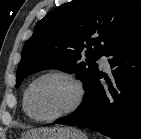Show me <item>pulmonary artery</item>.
Segmentation results:
<instances>
[{"mask_svg":"<svg viewBox=\"0 0 141 139\" xmlns=\"http://www.w3.org/2000/svg\"><path fill=\"white\" fill-rule=\"evenodd\" d=\"M100 64L102 67H104L105 69L109 68V62H108V58L105 55H102L100 57Z\"/></svg>","mask_w":141,"mask_h":139,"instance_id":"pulmonary-artery-1","label":"pulmonary artery"}]
</instances>
